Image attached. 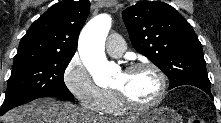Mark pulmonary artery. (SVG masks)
Here are the masks:
<instances>
[{
  "label": "pulmonary artery",
  "mask_w": 221,
  "mask_h": 123,
  "mask_svg": "<svg viewBox=\"0 0 221 123\" xmlns=\"http://www.w3.org/2000/svg\"><path fill=\"white\" fill-rule=\"evenodd\" d=\"M126 49L125 42L119 34H111L106 41V51L112 57H120Z\"/></svg>",
  "instance_id": "1"
}]
</instances>
